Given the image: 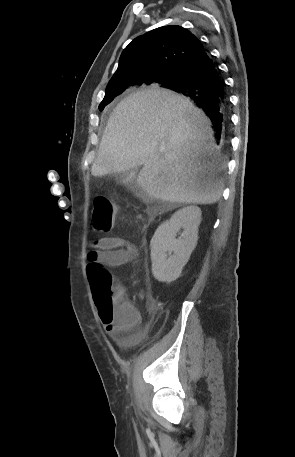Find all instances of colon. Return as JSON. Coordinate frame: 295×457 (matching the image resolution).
<instances>
[{"label":"colon","mask_w":295,"mask_h":457,"mask_svg":"<svg viewBox=\"0 0 295 457\" xmlns=\"http://www.w3.org/2000/svg\"><path fill=\"white\" fill-rule=\"evenodd\" d=\"M117 207L106 196L94 200L91 212V227L96 232H109L114 224ZM99 316L110 321L120 316L125 309V291L114 282L110 272L101 263L90 261L86 267Z\"/></svg>","instance_id":"obj_1"}]
</instances>
